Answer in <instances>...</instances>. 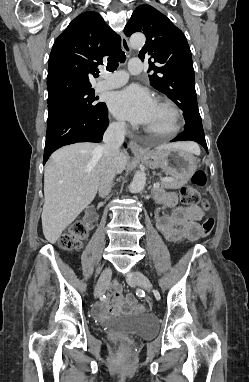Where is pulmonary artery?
Here are the masks:
<instances>
[{"mask_svg":"<svg viewBox=\"0 0 249 382\" xmlns=\"http://www.w3.org/2000/svg\"><path fill=\"white\" fill-rule=\"evenodd\" d=\"M144 68L143 62L139 58H132L128 63V70L132 74L141 72ZM128 81V74L125 71H117L114 74L103 72L101 80L97 83L98 90H110L123 86Z\"/></svg>","mask_w":249,"mask_h":382,"instance_id":"obj_1","label":"pulmonary artery"}]
</instances>
